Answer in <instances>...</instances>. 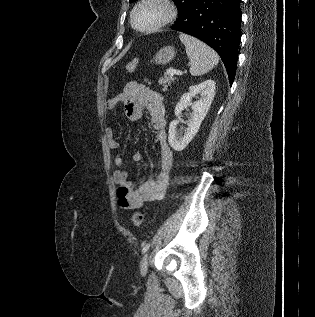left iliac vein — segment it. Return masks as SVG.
I'll list each match as a JSON object with an SVG mask.
<instances>
[{
    "mask_svg": "<svg viewBox=\"0 0 315 317\" xmlns=\"http://www.w3.org/2000/svg\"><path fill=\"white\" fill-rule=\"evenodd\" d=\"M148 262H149V255L147 253L143 256L141 263H140V273L142 276L146 275V273H147Z\"/></svg>",
    "mask_w": 315,
    "mask_h": 317,
    "instance_id": "1",
    "label": "left iliac vein"
}]
</instances>
